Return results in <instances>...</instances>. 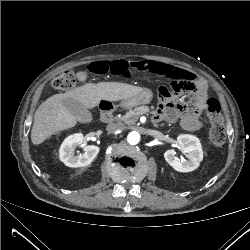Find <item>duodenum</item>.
Segmentation results:
<instances>
[{"label":"duodenum","instance_id":"obj_1","mask_svg":"<svg viewBox=\"0 0 250 250\" xmlns=\"http://www.w3.org/2000/svg\"><path fill=\"white\" fill-rule=\"evenodd\" d=\"M101 119L103 122H110L112 119V112L106 105L101 106Z\"/></svg>","mask_w":250,"mask_h":250}]
</instances>
